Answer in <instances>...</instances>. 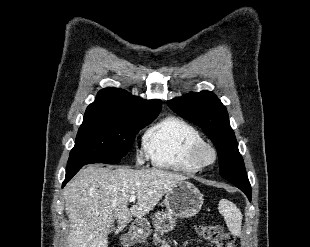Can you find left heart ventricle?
Instances as JSON below:
<instances>
[{
    "label": "left heart ventricle",
    "mask_w": 310,
    "mask_h": 247,
    "mask_svg": "<svg viewBox=\"0 0 310 247\" xmlns=\"http://www.w3.org/2000/svg\"><path fill=\"white\" fill-rule=\"evenodd\" d=\"M212 159V154L209 150H204L201 154V160L204 162H209Z\"/></svg>",
    "instance_id": "obj_1"
}]
</instances>
